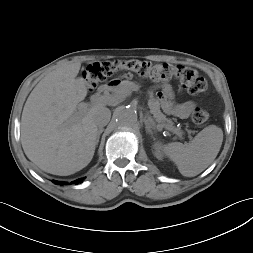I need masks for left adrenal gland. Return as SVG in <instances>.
Returning <instances> with one entry per match:
<instances>
[{"label":"left adrenal gland","mask_w":253,"mask_h":253,"mask_svg":"<svg viewBox=\"0 0 253 253\" xmlns=\"http://www.w3.org/2000/svg\"><path fill=\"white\" fill-rule=\"evenodd\" d=\"M143 121L145 124L146 132L152 134L153 133L152 130L155 129V123L152 121V119L150 118L147 119L146 117H144Z\"/></svg>","instance_id":"obj_1"}]
</instances>
